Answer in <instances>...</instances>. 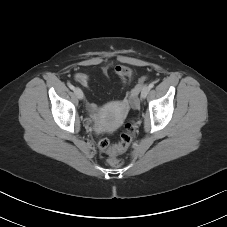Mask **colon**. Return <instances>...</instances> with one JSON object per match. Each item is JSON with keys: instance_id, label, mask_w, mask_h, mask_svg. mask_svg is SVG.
<instances>
[{"instance_id": "colon-1", "label": "colon", "mask_w": 227, "mask_h": 227, "mask_svg": "<svg viewBox=\"0 0 227 227\" xmlns=\"http://www.w3.org/2000/svg\"><path fill=\"white\" fill-rule=\"evenodd\" d=\"M146 78L140 79L138 86L134 89L133 94H136L140 86L145 82ZM134 126L132 124H126L124 130L120 136V141L117 144L111 145L107 138H100L98 140V146L101 150L106 151L109 155L108 163L112 167H120L123 164V160L118 155L124 152L134 137Z\"/></svg>"}]
</instances>
